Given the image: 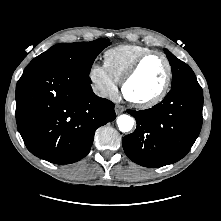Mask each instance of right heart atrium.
<instances>
[{
  "label": "right heart atrium",
  "mask_w": 221,
  "mask_h": 221,
  "mask_svg": "<svg viewBox=\"0 0 221 221\" xmlns=\"http://www.w3.org/2000/svg\"><path fill=\"white\" fill-rule=\"evenodd\" d=\"M88 80L94 93L100 98L116 99L118 84L103 64L93 62L88 69Z\"/></svg>",
  "instance_id": "right-heart-atrium-1"
}]
</instances>
